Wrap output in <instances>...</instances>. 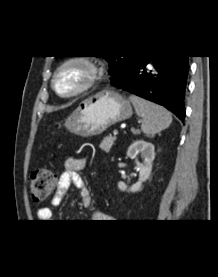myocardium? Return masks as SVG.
I'll list each match as a JSON object with an SVG mask.
<instances>
[{
	"mask_svg": "<svg viewBox=\"0 0 218 277\" xmlns=\"http://www.w3.org/2000/svg\"><path fill=\"white\" fill-rule=\"evenodd\" d=\"M77 67L84 72L83 79L79 86L71 92L63 93L57 88L59 76L68 68ZM100 78L98 65L87 57H70L61 62L54 70L51 85L54 92L62 98H73L92 88Z\"/></svg>",
	"mask_w": 218,
	"mask_h": 277,
	"instance_id": "1",
	"label": "myocardium"
}]
</instances>
